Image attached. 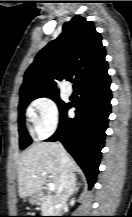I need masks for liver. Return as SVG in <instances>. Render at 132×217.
Here are the masks:
<instances>
[{
  "label": "liver",
  "mask_w": 132,
  "mask_h": 217,
  "mask_svg": "<svg viewBox=\"0 0 132 217\" xmlns=\"http://www.w3.org/2000/svg\"><path fill=\"white\" fill-rule=\"evenodd\" d=\"M70 163L72 172L78 171L79 168L72 158H70ZM60 169L58 143L41 142L32 144L22 154L18 163L19 196L26 198L38 193L47 177L52 180L57 191L61 181Z\"/></svg>",
  "instance_id": "obj_1"
}]
</instances>
